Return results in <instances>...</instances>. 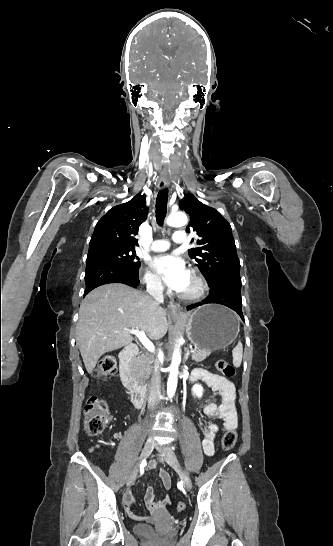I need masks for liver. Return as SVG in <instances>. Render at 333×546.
<instances>
[{
	"label": "liver",
	"mask_w": 333,
	"mask_h": 546,
	"mask_svg": "<svg viewBox=\"0 0 333 546\" xmlns=\"http://www.w3.org/2000/svg\"><path fill=\"white\" fill-rule=\"evenodd\" d=\"M130 328L159 340L168 329L166 311L155 299L122 283L100 286L85 297L76 340L88 373L102 355L132 343Z\"/></svg>",
	"instance_id": "6515ba94"
}]
</instances>
